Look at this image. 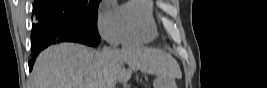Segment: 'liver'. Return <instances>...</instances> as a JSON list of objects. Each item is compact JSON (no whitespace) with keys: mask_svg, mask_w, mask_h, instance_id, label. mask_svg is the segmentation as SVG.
<instances>
[{"mask_svg":"<svg viewBox=\"0 0 267 88\" xmlns=\"http://www.w3.org/2000/svg\"><path fill=\"white\" fill-rule=\"evenodd\" d=\"M128 65V69L125 68ZM179 78L177 61L167 52L142 46L96 51L77 43L53 45L37 57L34 88H115L132 71Z\"/></svg>","mask_w":267,"mask_h":88,"instance_id":"6515ba94","label":"liver"}]
</instances>
